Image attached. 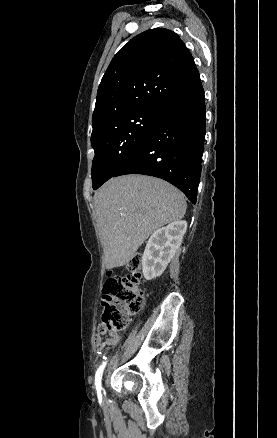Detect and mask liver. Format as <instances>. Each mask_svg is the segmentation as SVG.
<instances>
[{
	"label": "liver",
	"mask_w": 277,
	"mask_h": 438,
	"mask_svg": "<svg viewBox=\"0 0 277 438\" xmlns=\"http://www.w3.org/2000/svg\"><path fill=\"white\" fill-rule=\"evenodd\" d=\"M107 270L126 266L161 226L178 222L187 204L177 188L152 176L111 178L94 194Z\"/></svg>",
	"instance_id": "6515ba94"
}]
</instances>
